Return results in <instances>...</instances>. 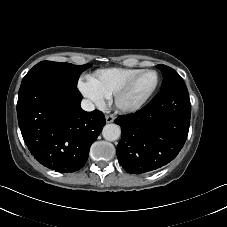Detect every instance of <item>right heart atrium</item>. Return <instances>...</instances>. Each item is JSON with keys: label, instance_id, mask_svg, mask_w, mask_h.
Returning a JSON list of instances; mask_svg holds the SVG:
<instances>
[{"label": "right heart atrium", "instance_id": "d8ad5b80", "mask_svg": "<svg viewBox=\"0 0 227 227\" xmlns=\"http://www.w3.org/2000/svg\"><path fill=\"white\" fill-rule=\"evenodd\" d=\"M80 89L83 95L98 107H103L106 97L100 93L90 82L82 83Z\"/></svg>", "mask_w": 227, "mask_h": 227}]
</instances>
